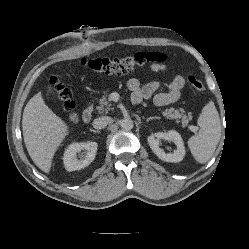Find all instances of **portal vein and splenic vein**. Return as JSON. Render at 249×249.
I'll return each mask as SVG.
<instances>
[{
	"label": "portal vein and splenic vein",
	"instance_id": "portal-vein-and-splenic-vein-1",
	"mask_svg": "<svg viewBox=\"0 0 249 249\" xmlns=\"http://www.w3.org/2000/svg\"><path fill=\"white\" fill-rule=\"evenodd\" d=\"M189 129L193 132H196L198 128L196 126H189Z\"/></svg>",
	"mask_w": 249,
	"mask_h": 249
}]
</instances>
